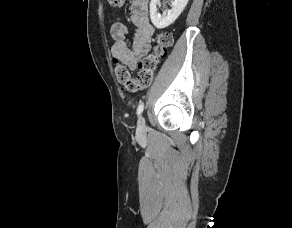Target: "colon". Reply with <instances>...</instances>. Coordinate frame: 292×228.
Listing matches in <instances>:
<instances>
[{
  "label": "colon",
  "mask_w": 292,
  "mask_h": 228,
  "mask_svg": "<svg viewBox=\"0 0 292 228\" xmlns=\"http://www.w3.org/2000/svg\"><path fill=\"white\" fill-rule=\"evenodd\" d=\"M125 0H108L112 7H120ZM172 45V36L169 33H161L155 41L153 51L143 57L137 67V76L134 78L123 66L117 65L115 68L117 79L122 90L127 94H133L139 90L148 88L153 80L154 72L158 63L163 59Z\"/></svg>",
  "instance_id": "obj_1"
}]
</instances>
